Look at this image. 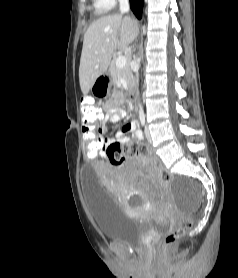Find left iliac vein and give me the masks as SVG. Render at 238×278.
Masks as SVG:
<instances>
[{"label": "left iliac vein", "mask_w": 238, "mask_h": 278, "mask_svg": "<svg viewBox=\"0 0 238 278\" xmlns=\"http://www.w3.org/2000/svg\"><path fill=\"white\" fill-rule=\"evenodd\" d=\"M145 135L147 140L151 142V135H150L149 128L147 126L145 127Z\"/></svg>", "instance_id": "left-iliac-vein-1"}]
</instances>
